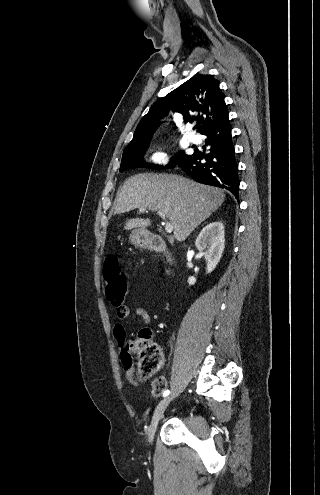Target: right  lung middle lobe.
I'll return each mask as SVG.
<instances>
[{
  "label": "right lung middle lobe",
  "mask_w": 320,
  "mask_h": 495,
  "mask_svg": "<svg viewBox=\"0 0 320 495\" xmlns=\"http://www.w3.org/2000/svg\"><path fill=\"white\" fill-rule=\"evenodd\" d=\"M149 144L140 145L128 150L123 151L120 171H125L136 167L145 168H172L183 161H185L190 155L185 154L183 151L176 153L166 166H156L154 164H149L143 160V156L148 148Z\"/></svg>",
  "instance_id": "dd1d6c3e"
}]
</instances>
